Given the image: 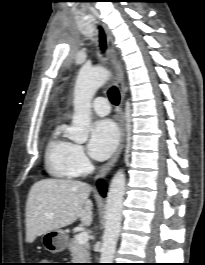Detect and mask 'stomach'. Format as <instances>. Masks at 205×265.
Instances as JSON below:
<instances>
[{
  "label": "stomach",
  "instance_id": "obj_1",
  "mask_svg": "<svg viewBox=\"0 0 205 265\" xmlns=\"http://www.w3.org/2000/svg\"><path fill=\"white\" fill-rule=\"evenodd\" d=\"M42 243L49 252L58 253L67 247V237L62 230H53L42 236Z\"/></svg>",
  "mask_w": 205,
  "mask_h": 265
}]
</instances>
